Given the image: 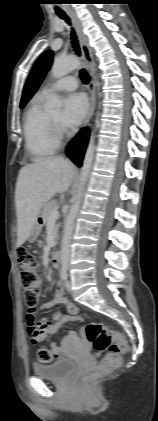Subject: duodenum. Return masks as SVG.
Listing matches in <instances>:
<instances>
[{
    "label": "duodenum",
    "instance_id": "obj_1",
    "mask_svg": "<svg viewBox=\"0 0 158 421\" xmlns=\"http://www.w3.org/2000/svg\"><path fill=\"white\" fill-rule=\"evenodd\" d=\"M61 261V253L59 251L53 252L51 256V263L54 267H58Z\"/></svg>",
    "mask_w": 158,
    "mask_h": 421
}]
</instances>
